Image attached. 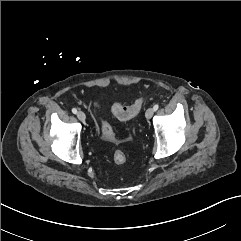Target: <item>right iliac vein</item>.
<instances>
[{"instance_id": "right-iliac-vein-1", "label": "right iliac vein", "mask_w": 241, "mask_h": 241, "mask_svg": "<svg viewBox=\"0 0 241 241\" xmlns=\"http://www.w3.org/2000/svg\"><path fill=\"white\" fill-rule=\"evenodd\" d=\"M77 118H78L80 121H85L86 116H85L84 112L78 111V112H77Z\"/></svg>"}]
</instances>
